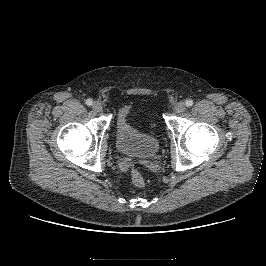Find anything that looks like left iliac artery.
<instances>
[{
    "mask_svg": "<svg viewBox=\"0 0 266 266\" xmlns=\"http://www.w3.org/2000/svg\"><path fill=\"white\" fill-rule=\"evenodd\" d=\"M193 105V101L191 99L186 100V106L191 107Z\"/></svg>",
    "mask_w": 266,
    "mask_h": 266,
    "instance_id": "1",
    "label": "left iliac artery"
}]
</instances>
